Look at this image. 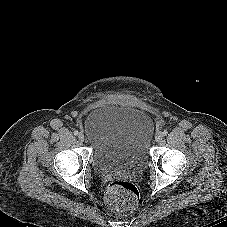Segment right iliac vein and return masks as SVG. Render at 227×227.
Masks as SVG:
<instances>
[{"label":"right iliac vein","mask_w":227,"mask_h":227,"mask_svg":"<svg viewBox=\"0 0 227 227\" xmlns=\"http://www.w3.org/2000/svg\"><path fill=\"white\" fill-rule=\"evenodd\" d=\"M78 138H79L80 141H84L85 136H84L83 133H80V134L78 135Z\"/></svg>","instance_id":"obj_1"}]
</instances>
